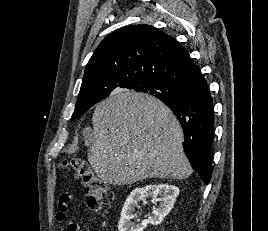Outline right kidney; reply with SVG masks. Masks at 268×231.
Segmentation results:
<instances>
[{"label":"right kidney","mask_w":268,"mask_h":231,"mask_svg":"<svg viewBox=\"0 0 268 231\" xmlns=\"http://www.w3.org/2000/svg\"><path fill=\"white\" fill-rule=\"evenodd\" d=\"M178 195L179 188L169 184H150L142 188H135L126 199L122 208L118 225L119 231H143L149 223L152 225L161 224L173 208ZM146 196H152L156 201H159V207H153L151 216L138 224H134L131 222V219L135 217L133 214L135 206ZM158 196L160 198H157Z\"/></svg>","instance_id":"obj_1"}]
</instances>
